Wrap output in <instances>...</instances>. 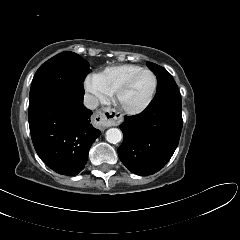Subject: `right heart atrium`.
I'll list each match as a JSON object with an SVG mask.
<instances>
[{
	"label": "right heart atrium",
	"instance_id": "d8ad5b80",
	"mask_svg": "<svg viewBox=\"0 0 240 240\" xmlns=\"http://www.w3.org/2000/svg\"><path fill=\"white\" fill-rule=\"evenodd\" d=\"M85 89L98 101H105L109 93L102 87L96 75L88 76L85 80Z\"/></svg>",
	"mask_w": 240,
	"mask_h": 240
}]
</instances>
